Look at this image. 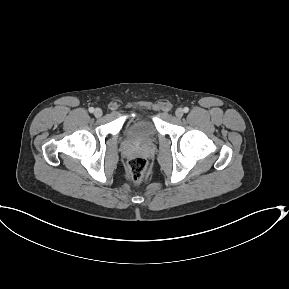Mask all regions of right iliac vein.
<instances>
[{
  "label": "right iliac vein",
  "instance_id": "obj_1",
  "mask_svg": "<svg viewBox=\"0 0 289 289\" xmlns=\"http://www.w3.org/2000/svg\"><path fill=\"white\" fill-rule=\"evenodd\" d=\"M94 115H95L96 117H101V116H102V110L99 109V108L95 109Z\"/></svg>",
  "mask_w": 289,
  "mask_h": 289
}]
</instances>
